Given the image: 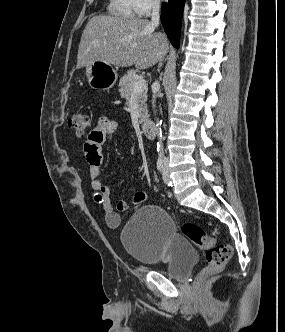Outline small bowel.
<instances>
[{
    "instance_id": "obj_1",
    "label": "small bowel",
    "mask_w": 285,
    "mask_h": 332,
    "mask_svg": "<svg viewBox=\"0 0 285 332\" xmlns=\"http://www.w3.org/2000/svg\"><path fill=\"white\" fill-rule=\"evenodd\" d=\"M118 128L116 120L102 116L97 126L90 132L84 143V152L89 165L90 185L93 190L94 200L105 213V221L111 228H117L120 224L119 212H125L130 204L125 200L115 201L108 187L99 179L103 164L102 147ZM145 191L137 192L133 198V204H140L148 198Z\"/></svg>"
}]
</instances>
